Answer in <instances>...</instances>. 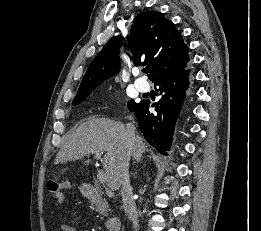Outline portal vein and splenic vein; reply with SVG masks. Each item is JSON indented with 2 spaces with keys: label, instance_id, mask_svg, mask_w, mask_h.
I'll list each match as a JSON object with an SVG mask.
<instances>
[{
  "label": "portal vein and splenic vein",
  "instance_id": "obj_1",
  "mask_svg": "<svg viewBox=\"0 0 261 231\" xmlns=\"http://www.w3.org/2000/svg\"><path fill=\"white\" fill-rule=\"evenodd\" d=\"M93 154H95V157L96 159H101L102 160V154L103 152H99V151H96V152H92ZM97 178L99 180V182L101 184H104L106 182V175H105V172L103 170H99L98 173H97Z\"/></svg>",
  "mask_w": 261,
  "mask_h": 231
}]
</instances>
